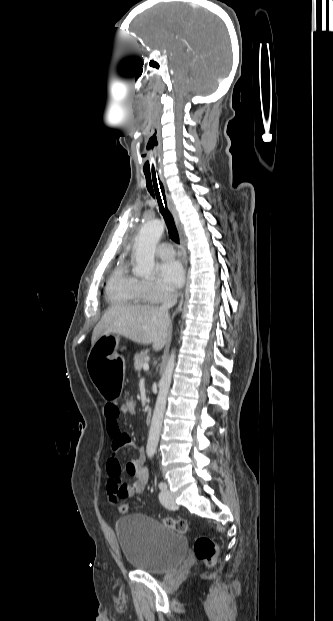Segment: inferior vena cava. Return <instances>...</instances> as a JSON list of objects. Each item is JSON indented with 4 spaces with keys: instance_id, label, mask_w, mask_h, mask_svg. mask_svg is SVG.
<instances>
[{
    "instance_id": "1",
    "label": "inferior vena cava",
    "mask_w": 333,
    "mask_h": 621,
    "mask_svg": "<svg viewBox=\"0 0 333 621\" xmlns=\"http://www.w3.org/2000/svg\"><path fill=\"white\" fill-rule=\"evenodd\" d=\"M178 292L176 290H169L166 292L164 302L160 307V310L168 315V310L177 303Z\"/></svg>"
}]
</instances>
